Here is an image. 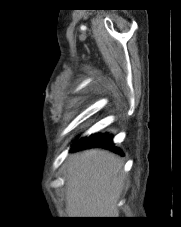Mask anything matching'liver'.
<instances>
[{
  "instance_id": "liver-1",
  "label": "liver",
  "mask_w": 181,
  "mask_h": 227,
  "mask_svg": "<svg viewBox=\"0 0 181 227\" xmlns=\"http://www.w3.org/2000/svg\"><path fill=\"white\" fill-rule=\"evenodd\" d=\"M68 217H118L123 161L103 149L72 154L67 162Z\"/></svg>"
}]
</instances>
